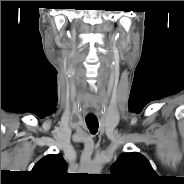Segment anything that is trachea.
Listing matches in <instances>:
<instances>
[{
	"label": "trachea",
	"instance_id": "3493384b",
	"mask_svg": "<svg viewBox=\"0 0 184 184\" xmlns=\"http://www.w3.org/2000/svg\"><path fill=\"white\" fill-rule=\"evenodd\" d=\"M87 127L89 128L92 134H95L98 131V120L97 118H85Z\"/></svg>",
	"mask_w": 184,
	"mask_h": 184
}]
</instances>
